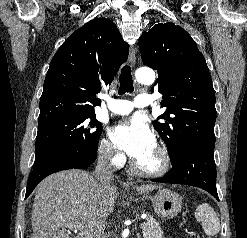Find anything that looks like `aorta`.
I'll return each instance as SVG.
<instances>
[{"mask_svg":"<svg viewBox=\"0 0 247 238\" xmlns=\"http://www.w3.org/2000/svg\"><path fill=\"white\" fill-rule=\"evenodd\" d=\"M136 79L139 83L151 85L155 81V73L148 68H141L136 71Z\"/></svg>","mask_w":247,"mask_h":238,"instance_id":"obj_1","label":"aorta"}]
</instances>
